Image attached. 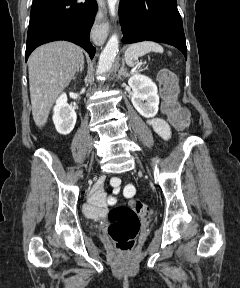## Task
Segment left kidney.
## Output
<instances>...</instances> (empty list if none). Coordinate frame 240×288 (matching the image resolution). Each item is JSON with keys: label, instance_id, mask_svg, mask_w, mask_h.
Listing matches in <instances>:
<instances>
[{"label": "left kidney", "instance_id": "1", "mask_svg": "<svg viewBox=\"0 0 240 288\" xmlns=\"http://www.w3.org/2000/svg\"><path fill=\"white\" fill-rule=\"evenodd\" d=\"M132 88L131 102L134 108L146 118L158 112L159 96L156 84L144 75H133L128 80Z\"/></svg>", "mask_w": 240, "mask_h": 288}]
</instances>
